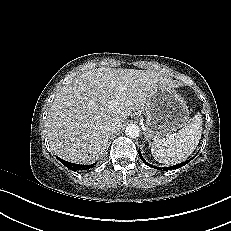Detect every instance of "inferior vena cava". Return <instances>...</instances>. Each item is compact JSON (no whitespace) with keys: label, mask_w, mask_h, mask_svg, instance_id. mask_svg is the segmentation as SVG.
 <instances>
[{"label":"inferior vena cava","mask_w":231,"mask_h":231,"mask_svg":"<svg viewBox=\"0 0 231 231\" xmlns=\"http://www.w3.org/2000/svg\"><path fill=\"white\" fill-rule=\"evenodd\" d=\"M121 129V126L119 123L117 122H113V123H110L106 126V131L109 133V134H114L116 133L117 131H119Z\"/></svg>","instance_id":"602c4592"}]
</instances>
